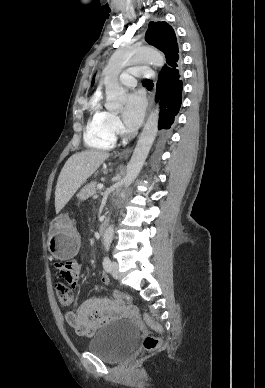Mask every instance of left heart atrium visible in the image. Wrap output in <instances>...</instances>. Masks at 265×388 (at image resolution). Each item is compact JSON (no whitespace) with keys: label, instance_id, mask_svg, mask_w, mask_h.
Returning a JSON list of instances; mask_svg holds the SVG:
<instances>
[{"label":"left heart atrium","instance_id":"left-heart-atrium-1","mask_svg":"<svg viewBox=\"0 0 265 388\" xmlns=\"http://www.w3.org/2000/svg\"><path fill=\"white\" fill-rule=\"evenodd\" d=\"M145 110V100L140 92H131L125 98V107L123 111L124 122L131 126H137L143 117Z\"/></svg>","mask_w":265,"mask_h":388}]
</instances>
